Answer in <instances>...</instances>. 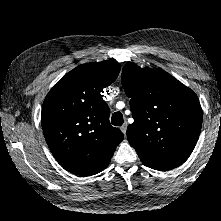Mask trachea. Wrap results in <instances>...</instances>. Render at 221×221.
<instances>
[{
	"mask_svg": "<svg viewBox=\"0 0 221 221\" xmlns=\"http://www.w3.org/2000/svg\"><path fill=\"white\" fill-rule=\"evenodd\" d=\"M111 123L114 126H121L123 124V115L120 112L113 113L111 117Z\"/></svg>",
	"mask_w": 221,
	"mask_h": 221,
	"instance_id": "3493384b",
	"label": "trachea"
}]
</instances>
